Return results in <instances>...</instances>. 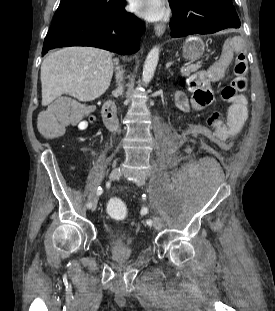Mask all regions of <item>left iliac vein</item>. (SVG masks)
Listing matches in <instances>:
<instances>
[{"mask_svg":"<svg viewBox=\"0 0 275 311\" xmlns=\"http://www.w3.org/2000/svg\"><path fill=\"white\" fill-rule=\"evenodd\" d=\"M137 184H138V185H143V184H144L143 179H142V178L138 179ZM153 225H154V227H155L157 230H160V229L162 228V222H161V220H160L158 217H156V216L153 217Z\"/></svg>","mask_w":275,"mask_h":311,"instance_id":"left-iliac-vein-1","label":"left iliac vein"}]
</instances>
